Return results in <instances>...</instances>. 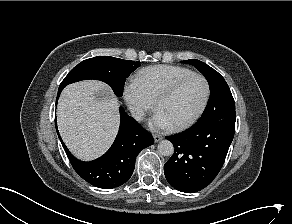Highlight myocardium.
Instances as JSON below:
<instances>
[{
    "mask_svg": "<svg viewBox=\"0 0 292 224\" xmlns=\"http://www.w3.org/2000/svg\"><path fill=\"white\" fill-rule=\"evenodd\" d=\"M195 78L202 80V82L204 83L205 95H204L203 102H202L200 108L198 109V111L189 120H187L183 123H180L178 125L171 126L173 131H182V130L189 128L203 115V113L205 112V110L209 104L210 97H211V86H210L208 79L204 75L199 74V73H193V74L184 76V77L178 79L177 81H175L174 83H172L167 88H165L162 92H160V94L155 99V108L158 109V106L160 105L161 102L172 97L187 82H189L190 80L195 79Z\"/></svg>",
    "mask_w": 292,
    "mask_h": 224,
    "instance_id": "1",
    "label": "myocardium"
}]
</instances>
